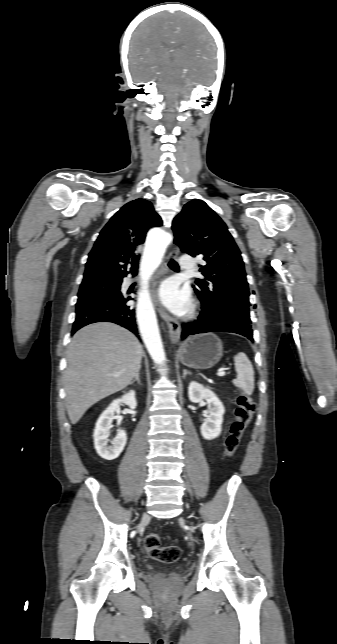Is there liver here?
<instances>
[{
    "mask_svg": "<svg viewBox=\"0 0 337 644\" xmlns=\"http://www.w3.org/2000/svg\"><path fill=\"white\" fill-rule=\"evenodd\" d=\"M143 349L121 326L100 322L73 336L64 372L66 408L72 424L101 399L124 389L139 372Z\"/></svg>",
    "mask_w": 337,
    "mask_h": 644,
    "instance_id": "liver-1",
    "label": "liver"
}]
</instances>
